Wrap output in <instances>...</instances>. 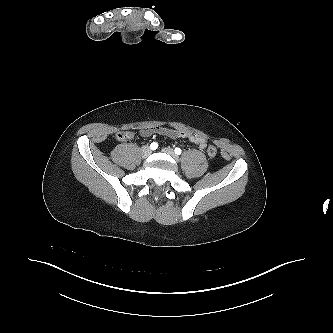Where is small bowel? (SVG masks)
Instances as JSON below:
<instances>
[{
    "label": "small bowel",
    "instance_id": "1",
    "mask_svg": "<svg viewBox=\"0 0 333 333\" xmlns=\"http://www.w3.org/2000/svg\"><path fill=\"white\" fill-rule=\"evenodd\" d=\"M142 136H150L153 133H158L160 135H165L171 138H184L190 141L191 143L196 144L199 146L201 149H204L206 147V139L192 134L187 131H182V130H177V129H172V128H167V127H145L142 128L140 131Z\"/></svg>",
    "mask_w": 333,
    "mask_h": 333
}]
</instances>
